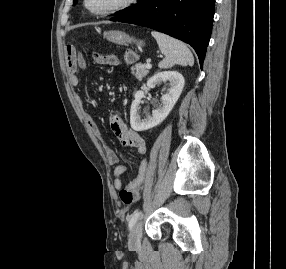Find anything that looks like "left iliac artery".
<instances>
[{
  "label": "left iliac artery",
  "mask_w": 286,
  "mask_h": 269,
  "mask_svg": "<svg viewBox=\"0 0 286 269\" xmlns=\"http://www.w3.org/2000/svg\"><path fill=\"white\" fill-rule=\"evenodd\" d=\"M141 215V211H135L129 220V229L131 230Z\"/></svg>",
  "instance_id": "obj_1"
}]
</instances>
